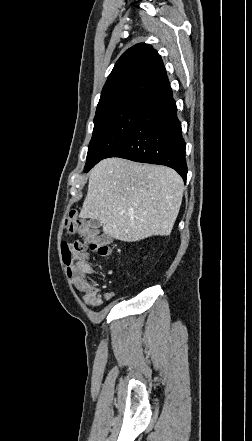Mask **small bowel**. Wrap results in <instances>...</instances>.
<instances>
[{"instance_id": "1", "label": "small bowel", "mask_w": 252, "mask_h": 441, "mask_svg": "<svg viewBox=\"0 0 252 441\" xmlns=\"http://www.w3.org/2000/svg\"><path fill=\"white\" fill-rule=\"evenodd\" d=\"M94 271L88 267L87 274L93 275ZM74 285L83 292L84 302L91 308L100 307L104 300H111L113 293L109 291H101L94 284L88 281H73Z\"/></svg>"}]
</instances>
